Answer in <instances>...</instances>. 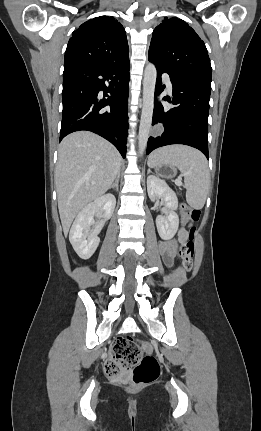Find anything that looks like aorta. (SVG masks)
I'll return each instance as SVG.
<instances>
[{
  "label": "aorta",
  "mask_w": 261,
  "mask_h": 431,
  "mask_svg": "<svg viewBox=\"0 0 261 431\" xmlns=\"http://www.w3.org/2000/svg\"><path fill=\"white\" fill-rule=\"evenodd\" d=\"M157 70L154 64L149 63L145 67L143 80V107L139 127V154L143 155L151 130L153 109H154V92L156 84Z\"/></svg>",
  "instance_id": "obj_1"
}]
</instances>
